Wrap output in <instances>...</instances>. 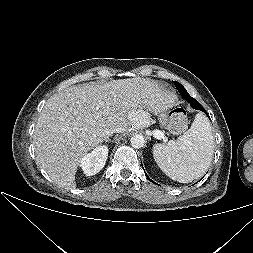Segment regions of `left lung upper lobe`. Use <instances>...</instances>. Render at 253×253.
<instances>
[{
    "instance_id": "obj_1",
    "label": "left lung upper lobe",
    "mask_w": 253,
    "mask_h": 253,
    "mask_svg": "<svg viewBox=\"0 0 253 253\" xmlns=\"http://www.w3.org/2000/svg\"><path fill=\"white\" fill-rule=\"evenodd\" d=\"M174 84H175L177 90L180 92L181 96H182L185 100H187L189 103H190L191 101L194 100V98H192V97L188 94V92L185 90V88H184L179 82L174 81Z\"/></svg>"
}]
</instances>
